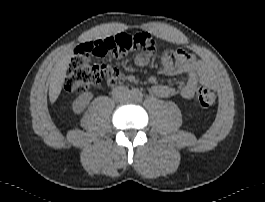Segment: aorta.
<instances>
[{
  "label": "aorta",
  "mask_w": 265,
  "mask_h": 202,
  "mask_svg": "<svg viewBox=\"0 0 265 202\" xmlns=\"http://www.w3.org/2000/svg\"><path fill=\"white\" fill-rule=\"evenodd\" d=\"M131 97H132L133 99H139V98L141 97V93H140L138 90H133V91L131 92Z\"/></svg>",
  "instance_id": "1"
}]
</instances>
